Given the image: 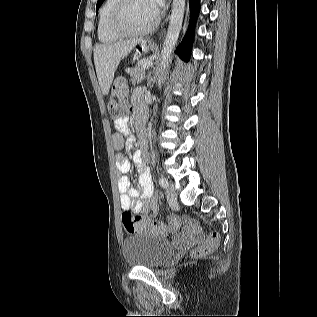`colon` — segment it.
Returning a JSON list of instances; mask_svg holds the SVG:
<instances>
[{
	"label": "colon",
	"mask_w": 317,
	"mask_h": 317,
	"mask_svg": "<svg viewBox=\"0 0 317 317\" xmlns=\"http://www.w3.org/2000/svg\"><path fill=\"white\" fill-rule=\"evenodd\" d=\"M108 111L114 121L126 117L130 111V106L128 104V87L123 78L115 79L112 85ZM122 223L128 233L150 231L160 235H166L181 226L190 227L195 224L188 218L178 216H171L168 224L158 221L152 222L149 219L135 215L130 211L123 212ZM218 245L219 235L217 232H212L204 241L200 242L194 248L193 254L197 257L207 255L214 251Z\"/></svg>",
	"instance_id": "5ec220e1"
}]
</instances>
